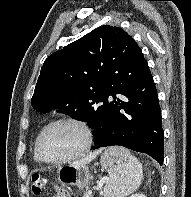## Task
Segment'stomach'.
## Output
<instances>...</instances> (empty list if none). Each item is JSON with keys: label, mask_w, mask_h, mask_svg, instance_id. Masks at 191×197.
<instances>
[{"label": "stomach", "mask_w": 191, "mask_h": 197, "mask_svg": "<svg viewBox=\"0 0 191 197\" xmlns=\"http://www.w3.org/2000/svg\"><path fill=\"white\" fill-rule=\"evenodd\" d=\"M100 162L104 168H108L116 162V158L111 154L109 150H106L102 154ZM58 180L62 184L76 186L79 189H83L88 185L90 180L89 169L86 165L78 167L67 165L61 167L58 170Z\"/></svg>", "instance_id": "0dacf381"}]
</instances>
